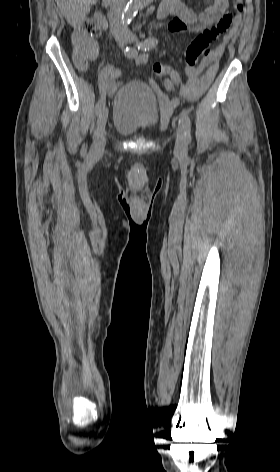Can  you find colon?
<instances>
[{"label": "colon", "instance_id": "5ec220e1", "mask_svg": "<svg viewBox=\"0 0 280 472\" xmlns=\"http://www.w3.org/2000/svg\"><path fill=\"white\" fill-rule=\"evenodd\" d=\"M243 4L242 0H235L234 12L225 13L219 21L212 27L203 30L187 47L185 59L187 64L195 65L200 56H207L210 53V45L220 35L226 33L231 27L238 26L241 22ZM100 24L96 20L84 22L79 32L86 36L93 37L100 33ZM75 65L82 69L86 67V61L79 57H73ZM172 67L166 64H154L153 72L158 76H171Z\"/></svg>", "mask_w": 280, "mask_h": 472}]
</instances>
